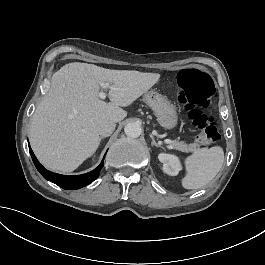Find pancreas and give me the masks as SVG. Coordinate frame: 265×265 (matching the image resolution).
Listing matches in <instances>:
<instances>
[{"label": "pancreas", "mask_w": 265, "mask_h": 265, "mask_svg": "<svg viewBox=\"0 0 265 265\" xmlns=\"http://www.w3.org/2000/svg\"><path fill=\"white\" fill-rule=\"evenodd\" d=\"M173 147L177 150L185 151V152H193L195 150L200 149V145L197 143H185L178 141V143L173 144Z\"/></svg>", "instance_id": "pancreas-1"}]
</instances>
